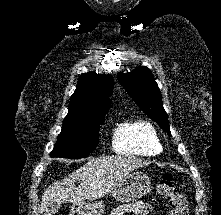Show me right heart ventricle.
I'll list each match as a JSON object with an SVG mask.
<instances>
[{"mask_svg":"<svg viewBox=\"0 0 221 215\" xmlns=\"http://www.w3.org/2000/svg\"><path fill=\"white\" fill-rule=\"evenodd\" d=\"M113 148L120 154L157 155L162 151L158 133L153 124L143 119L121 122L113 134Z\"/></svg>","mask_w":221,"mask_h":215,"instance_id":"right-heart-ventricle-1","label":"right heart ventricle"}]
</instances>
